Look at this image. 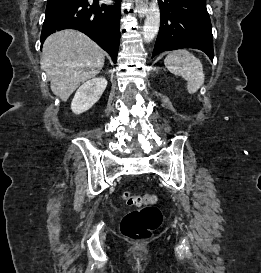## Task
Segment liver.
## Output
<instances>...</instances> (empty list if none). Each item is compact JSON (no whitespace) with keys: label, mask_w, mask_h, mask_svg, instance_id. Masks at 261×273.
I'll return each mask as SVG.
<instances>
[{"label":"liver","mask_w":261,"mask_h":273,"mask_svg":"<svg viewBox=\"0 0 261 273\" xmlns=\"http://www.w3.org/2000/svg\"><path fill=\"white\" fill-rule=\"evenodd\" d=\"M40 62L51 78L53 94L67 101L82 83L99 74L105 52L83 33L64 30L45 40Z\"/></svg>","instance_id":"obj_1"}]
</instances>
